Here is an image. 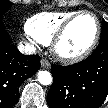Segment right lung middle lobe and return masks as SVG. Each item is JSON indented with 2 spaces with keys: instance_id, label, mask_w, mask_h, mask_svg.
Instances as JSON below:
<instances>
[{
  "instance_id": "1",
  "label": "right lung middle lobe",
  "mask_w": 108,
  "mask_h": 108,
  "mask_svg": "<svg viewBox=\"0 0 108 108\" xmlns=\"http://www.w3.org/2000/svg\"><path fill=\"white\" fill-rule=\"evenodd\" d=\"M11 5L12 3L8 0H0V18L1 15L4 14Z\"/></svg>"
}]
</instances>
